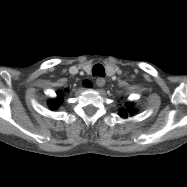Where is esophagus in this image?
<instances>
[{
	"mask_svg": "<svg viewBox=\"0 0 187 187\" xmlns=\"http://www.w3.org/2000/svg\"><path fill=\"white\" fill-rule=\"evenodd\" d=\"M105 79L103 78V77H98L97 79H96V85L98 86V87H103L104 85H105Z\"/></svg>",
	"mask_w": 187,
	"mask_h": 187,
	"instance_id": "obj_1",
	"label": "esophagus"
}]
</instances>
